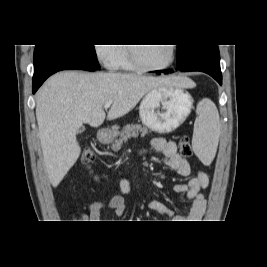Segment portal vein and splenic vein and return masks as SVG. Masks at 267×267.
I'll return each mask as SVG.
<instances>
[{
  "mask_svg": "<svg viewBox=\"0 0 267 267\" xmlns=\"http://www.w3.org/2000/svg\"><path fill=\"white\" fill-rule=\"evenodd\" d=\"M111 104H112V101L106 102L105 105H104V108L108 109L111 106Z\"/></svg>",
  "mask_w": 267,
  "mask_h": 267,
  "instance_id": "18ae733b",
  "label": "portal vein and splenic vein"
}]
</instances>
